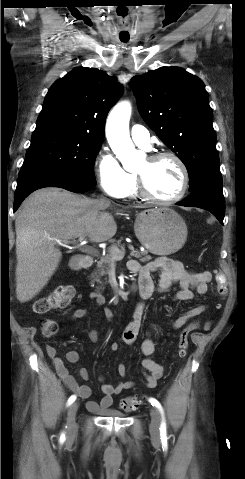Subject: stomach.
Listing matches in <instances>:
<instances>
[{"mask_svg": "<svg viewBox=\"0 0 245 479\" xmlns=\"http://www.w3.org/2000/svg\"><path fill=\"white\" fill-rule=\"evenodd\" d=\"M134 231L140 243L155 255L177 252L185 244L188 233L183 218L166 207L139 212Z\"/></svg>", "mask_w": 245, "mask_h": 479, "instance_id": "obj_1", "label": "stomach"}]
</instances>
